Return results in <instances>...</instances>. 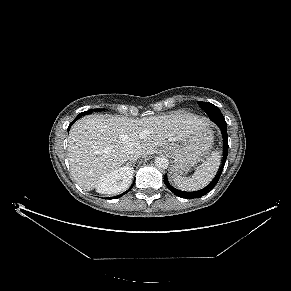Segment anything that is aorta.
Here are the masks:
<instances>
[{"instance_id": "aorta-1", "label": "aorta", "mask_w": 291, "mask_h": 291, "mask_svg": "<svg viewBox=\"0 0 291 291\" xmlns=\"http://www.w3.org/2000/svg\"><path fill=\"white\" fill-rule=\"evenodd\" d=\"M155 166L159 169H167L169 165V161L165 156H157L155 158Z\"/></svg>"}]
</instances>
